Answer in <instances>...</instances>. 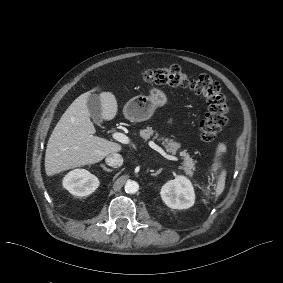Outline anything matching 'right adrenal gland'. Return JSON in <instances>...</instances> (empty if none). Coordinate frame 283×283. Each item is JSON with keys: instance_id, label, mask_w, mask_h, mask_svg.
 <instances>
[{"instance_id": "2a0ac1e0", "label": "right adrenal gland", "mask_w": 283, "mask_h": 283, "mask_svg": "<svg viewBox=\"0 0 283 283\" xmlns=\"http://www.w3.org/2000/svg\"><path fill=\"white\" fill-rule=\"evenodd\" d=\"M100 166L107 172H112V169L107 168L104 164H100Z\"/></svg>"}]
</instances>
